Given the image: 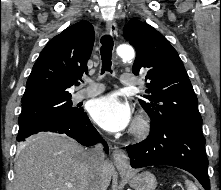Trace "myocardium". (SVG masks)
Listing matches in <instances>:
<instances>
[{
  "instance_id": "obj_1",
  "label": "myocardium",
  "mask_w": 221,
  "mask_h": 190,
  "mask_svg": "<svg viewBox=\"0 0 221 190\" xmlns=\"http://www.w3.org/2000/svg\"><path fill=\"white\" fill-rule=\"evenodd\" d=\"M150 127L149 118L144 114H140L133 124L131 134L136 138H143L149 133Z\"/></svg>"
}]
</instances>
